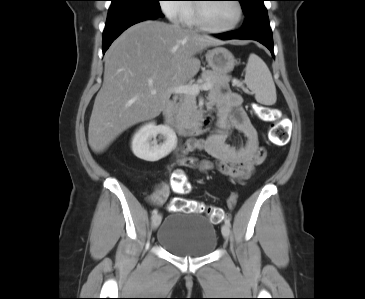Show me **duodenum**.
<instances>
[{"label": "duodenum", "mask_w": 365, "mask_h": 299, "mask_svg": "<svg viewBox=\"0 0 365 299\" xmlns=\"http://www.w3.org/2000/svg\"><path fill=\"white\" fill-rule=\"evenodd\" d=\"M175 107V100H170L163 109V118L165 124L171 127L177 134L182 136L195 135L200 134L207 129L209 119L205 116L189 124L176 123L174 120Z\"/></svg>", "instance_id": "duodenum-1"}]
</instances>
